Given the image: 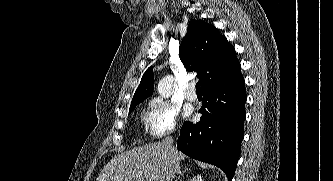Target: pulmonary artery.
<instances>
[{
    "instance_id": "1",
    "label": "pulmonary artery",
    "mask_w": 333,
    "mask_h": 181,
    "mask_svg": "<svg viewBox=\"0 0 333 181\" xmlns=\"http://www.w3.org/2000/svg\"><path fill=\"white\" fill-rule=\"evenodd\" d=\"M185 98L188 101H196L197 100V95L194 92V86L192 84H189L186 91H185Z\"/></svg>"
}]
</instances>
